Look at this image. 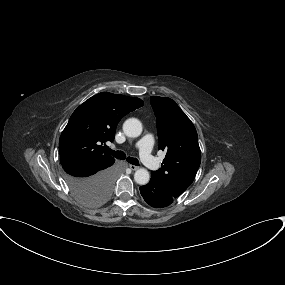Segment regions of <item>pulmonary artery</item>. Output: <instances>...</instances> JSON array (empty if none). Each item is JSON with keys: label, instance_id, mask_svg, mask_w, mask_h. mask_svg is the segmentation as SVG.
I'll return each instance as SVG.
<instances>
[{"label": "pulmonary artery", "instance_id": "1", "mask_svg": "<svg viewBox=\"0 0 285 285\" xmlns=\"http://www.w3.org/2000/svg\"><path fill=\"white\" fill-rule=\"evenodd\" d=\"M153 138L150 134H146L142 137L136 144L137 149L139 150V157L141 161L148 167L149 169H158L159 163L155 160V158L151 154Z\"/></svg>", "mask_w": 285, "mask_h": 285}]
</instances>
